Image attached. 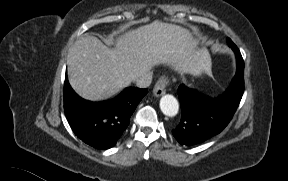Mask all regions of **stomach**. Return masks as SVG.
Listing matches in <instances>:
<instances>
[{
  "instance_id": "0dacf381",
  "label": "stomach",
  "mask_w": 288,
  "mask_h": 181,
  "mask_svg": "<svg viewBox=\"0 0 288 181\" xmlns=\"http://www.w3.org/2000/svg\"><path fill=\"white\" fill-rule=\"evenodd\" d=\"M196 60L199 73L208 70L211 66V58L206 49H201L196 52Z\"/></svg>"
}]
</instances>
